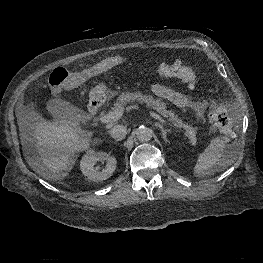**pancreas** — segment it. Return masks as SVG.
<instances>
[{
	"mask_svg": "<svg viewBox=\"0 0 263 263\" xmlns=\"http://www.w3.org/2000/svg\"><path fill=\"white\" fill-rule=\"evenodd\" d=\"M133 102L146 103L147 107L156 110L163 117L171 121L175 126L184 128L186 131V135L190 139V142L192 144L196 143L197 128L184 124L182 120L177 118L174 112L166 109L165 104L162 103L160 99H154L152 96L142 95L141 93H137V92L136 93L122 92L121 94H119L113 109L124 107L128 103H133Z\"/></svg>",
	"mask_w": 263,
	"mask_h": 263,
	"instance_id": "pancreas-1",
	"label": "pancreas"
}]
</instances>
